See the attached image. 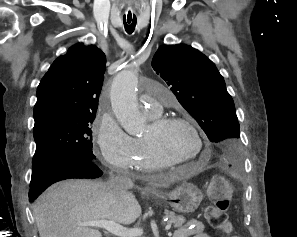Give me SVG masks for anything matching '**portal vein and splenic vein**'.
Here are the masks:
<instances>
[{
  "label": "portal vein and splenic vein",
  "mask_w": 297,
  "mask_h": 237,
  "mask_svg": "<svg viewBox=\"0 0 297 237\" xmlns=\"http://www.w3.org/2000/svg\"><path fill=\"white\" fill-rule=\"evenodd\" d=\"M83 225L96 227V228H103L108 232H110L111 234L118 237H137L143 234V230L140 228L128 229L110 220L91 221L88 223H84ZM170 228H171V224L168 223L165 226V230H170Z\"/></svg>",
  "instance_id": "obj_1"
}]
</instances>
